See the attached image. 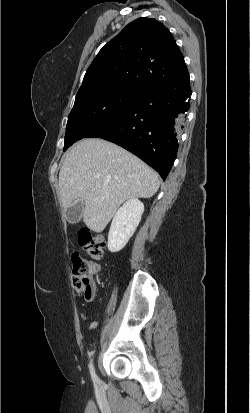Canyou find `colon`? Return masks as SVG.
Segmentation results:
<instances>
[{
    "mask_svg": "<svg viewBox=\"0 0 250 413\" xmlns=\"http://www.w3.org/2000/svg\"><path fill=\"white\" fill-rule=\"evenodd\" d=\"M78 242L89 258L79 254L73 256V284L76 291L90 302L94 297V278L99 272L98 261L104 256L105 242L102 236L92 233L88 228L78 232Z\"/></svg>",
    "mask_w": 250,
    "mask_h": 413,
    "instance_id": "1",
    "label": "colon"
}]
</instances>
